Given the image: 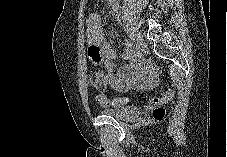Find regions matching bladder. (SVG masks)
<instances>
[{
  "label": "bladder",
  "instance_id": "1",
  "mask_svg": "<svg viewBox=\"0 0 227 157\" xmlns=\"http://www.w3.org/2000/svg\"><path fill=\"white\" fill-rule=\"evenodd\" d=\"M101 113L122 121H131L141 114V109L138 106H118L102 109Z\"/></svg>",
  "mask_w": 227,
  "mask_h": 157
}]
</instances>
